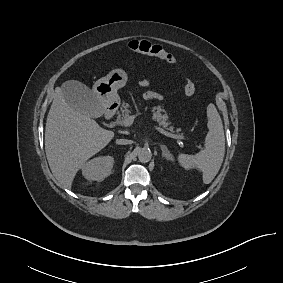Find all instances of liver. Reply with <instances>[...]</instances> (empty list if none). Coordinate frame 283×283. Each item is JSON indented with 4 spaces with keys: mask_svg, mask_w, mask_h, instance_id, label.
<instances>
[{
    "mask_svg": "<svg viewBox=\"0 0 283 283\" xmlns=\"http://www.w3.org/2000/svg\"><path fill=\"white\" fill-rule=\"evenodd\" d=\"M114 137L90 116L76 112L65 101L61 88L49 110L45 128V152L60 184L70 189L77 171Z\"/></svg>",
    "mask_w": 283,
    "mask_h": 283,
    "instance_id": "6515ba94",
    "label": "liver"
}]
</instances>
